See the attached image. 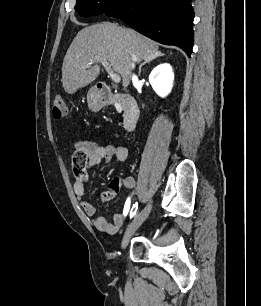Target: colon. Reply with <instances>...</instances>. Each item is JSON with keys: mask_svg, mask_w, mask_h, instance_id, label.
I'll return each instance as SVG.
<instances>
[{"mask_svg": "<svg viewBox=\"0 0 261 306\" xmlns=\"http://www.w3.org/2000/svg\"><path fill=\"white\" fill-rule=\"evenodd\" d=\"M67 113L66 105L60 96H55L52 102V118L54 121H61ZM88 157V151L85 148L76 149L72 156V164L77 169L82 168ZM118 190H113L108 198L115 196ZM106 198V199H108Z\"/></svg>", "mask_w": 261, "mask_h": 306, "instance_id": "colon-1", "label": "colon"}]
</instances>
